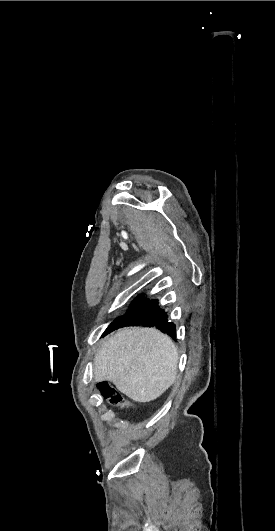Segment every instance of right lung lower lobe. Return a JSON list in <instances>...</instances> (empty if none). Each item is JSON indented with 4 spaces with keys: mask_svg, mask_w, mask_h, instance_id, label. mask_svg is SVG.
Here are the masks:
<instances>
[{
    "mask_svg": "<svg viewBox=\"0 0 275 531\" xmlns=\"http://www.w3.org/2000/svg\"><path fill=\"white\" fill-rule=\"evenodd\" d=\"M156 326L171 337L176 336L175 324L169 322L167 313L158 306L157 300L145 299L139 295L132 302L129 311L114 320L106 329L105 334L124 326L133 325Z\"/></svg>",
    "mask_w": 275,
    "mask_h": 531,
    "instance_id": "98d812e1",
    "label": "right lung lower lobe"
}]
</instances>
